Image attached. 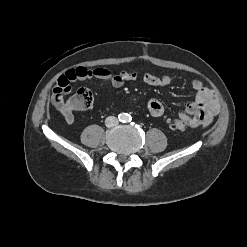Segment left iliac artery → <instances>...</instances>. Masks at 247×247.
I'll use <instances>...</instances> for the list:
<instances>
[{"label":"left iliac artery","instance_id":"44dca946","mask_svg":"<svg viewBox=\"0 0 247 247\" xmlns=\"http://www.w3.org/2000/svg\"><path fill=\"white\" fill-rule=\"evenodd\" d=\"M131 120H132V117L130 115H128L127 122H131Z\"/></svg>","mask_w":247,"mask_h":247}]
</instances>
